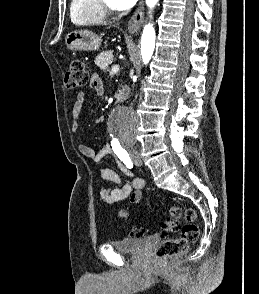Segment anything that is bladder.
Instances as JSON below:
<instances>
[{"mask_svg": "<svg viewBox=\"0 0 259 294\" xmlns=\"http://www.w3.org/2000/svg\"><path fill=\"white\" fill-rule=\"evenodd\" d=\"M157 240H159V235L154 234L144 237H126L110 241L108 244L119 252L136 253Z\"/></svg>", "mask_w": 259, "mask_h": 294, "instance_id": "bladder-1", "label": "bladder"}]
</instances>
